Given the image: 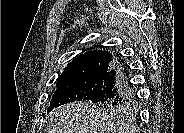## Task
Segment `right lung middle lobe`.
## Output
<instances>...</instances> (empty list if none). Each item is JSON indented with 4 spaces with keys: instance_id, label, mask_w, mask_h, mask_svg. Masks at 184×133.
I'll use <instances>...</instances> for the list:
<instances>
[{
    "instance_id": "dd1d6c3e",
    "label": "right lung middle lobe",
    "mask_w": 184,
    "mask_h": 133,
    "mask_svg": "<svg viewBox=\"0 0 184 133\" xmlns=\"http://www.w3.org/2000/svg\"><path fill=\"white\" fill-rule=\"evenodd\" d=\"M103 75L93 74L84 77L57 80V89L53 94L47 112L69 102L93 100L103 88ZM96 106L108 115L113 116H131L136 109V103L122 105L98 103Z\"/></svg>"
}]
</instances>
